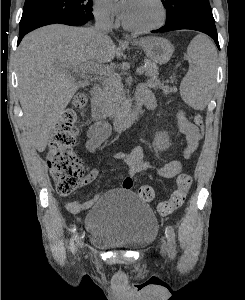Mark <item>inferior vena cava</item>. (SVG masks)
<instances>
[{"instance_id":"1","label":"inferior vena cava","mask_w":245,"mask_h":300,"mask_svg":"<svg viewBox=\"0 0 245 300\" xmlns=\"http://www.w3.org/2000/svg\"><path fill=\"white\" fill-rule=\"evenodd\" d=\"M112 30V22L106 14H98L94 27V33L100 40L108 38L107 34Z\"/></svg>"}]
</instances>
